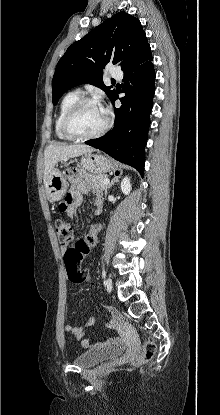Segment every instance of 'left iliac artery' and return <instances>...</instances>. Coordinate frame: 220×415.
Wrapping results in <instances>:
<instances>
[{"mask_svg":"<svg viewBox=\"0 0 220 415\" xmlns=\"http://www.w3.org/2000/svg\"><path fill=\"white\" fill-rule=\"evenodd\" d=\"M102 277H103V278H105V277H106V272H105V270H103V272H102Z\"/></svg>","mask_w":220,"mask_h":415,"instance_id":"44dca946","label":"left iliac artery"}]
</instances>
